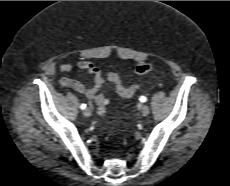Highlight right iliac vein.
I'll use <instances>...</instances> for the list:
<instances>
[{
    "instance_id": "1",
    "label": "right iliac vein",
    "mask_w": 230,
    "mask_h": 186,
    "mask_svg": "<svg viewBox=\"0 0 230 186\" xmlns=\"http://www.w3.org/2000/svg\"><path fill=\"white\" fill-rule=\"evenodd\" d=\"M83 114L85 117H90L92 112H91V109L90 108H85L84 111H83Z\"/></svg>"
}]
</instances>
